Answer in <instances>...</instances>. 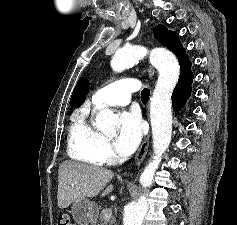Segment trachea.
<instances>
[{
  "label": "trachea",
  "instance_id": "1",
  "mask_svg": "<svg viewBox=\"0 0 237 225\" xmlns=\"http://www.w3.org/2000/svg\"><path fill=\"white\" fill-rule=\"evenodd\" d=\"M149 95H150V90L148 88H144L141 91V96H142L143 101H147L149 99Z\"/></svg>",
  "mask_w": 237,
  "mask_h": 225
}]
</instances>
